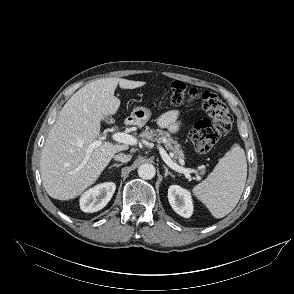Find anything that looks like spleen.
<instances>
[{
	"label": "spleen",
	"mask_w": 294,
	"mask_h": 294,
	"mask_svg": "<svg viewBox=\"0 0 294 294\" xmlns=\"http://www.w3.org/2000/svg\"><path fill=\"white\" fill-rule=\"evenodd\" d=\"M246 177L244 149L234 145L219 160L212 173L193 188V193L215 218H222L237 205L245 187Z\"/></svg>",
	"instance_id": "spleen-1"
}]
</instances>
